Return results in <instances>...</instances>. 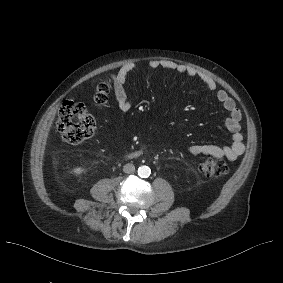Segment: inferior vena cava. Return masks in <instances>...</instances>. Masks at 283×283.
I'll list each match as a JSON object with an SVG mask.
<instances>
[{"instance_id":"1","label":"inferior vena cava","mask_w":283,"mask_h":283,"mask_svg":"<svg viewBox=\"0 0 283 283\" xmlns=\"http://www.w3.org/2000/svg\"><path fill=\"white\" fill-rule=\"evenodd\" d=\"M123 171H124L125 173H132V172L135 171V166H134L133 164H130V163L125 164V165L123 166Z\"/></svg>"}]
</instances>
